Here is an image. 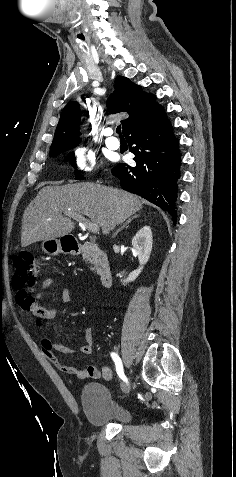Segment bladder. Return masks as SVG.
Returning a JSON list of instances; mask_svg holds the SVG:
<instances>
[{
  "instance_id": "1",
  "label": "bladder",
  "mask_w": 236,
  "mask_h": 477,
  "mask_svg": "<svg viewBox=\"0 0 236 477\" xmlns=\"http://www.w3.org/2000/svg\"><path fill=\"white\" fill-rule=\"evenodd\" d=\"M81 404L88 421L96 426L109 423L127 424L133 411L125 403L114 398L101 383L88 382L81 390Z\"/></svg>"
}]
</instances>
